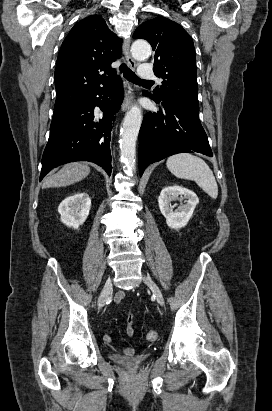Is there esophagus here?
Masks as SVG:
<instances>
[{
    "mask_svg": "<svg viewBox=\"0 0 272 411\" xmlns=\"http://www.w3.org/2000/svg\"><path fill=\"white\" fill-rule=\"evenodd\" d=\"M130 43H131L130 38L124 39L123 54H124V57H125L128 65L130 66V68L135 69L136 68V62L130 54ZM133 99H134V96L132 94V91H131V89H128L126 91V94H125V97H124V100H123V103H122V107H121V110L123 112L131 107Z\"/></svg>",
    "mask_w": 272,
    "mask_h": 411,
    "instance_id": "1",
    "label": "esophagus"
}]
</instances>
